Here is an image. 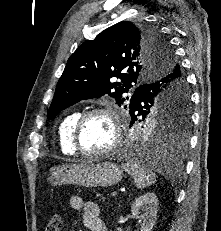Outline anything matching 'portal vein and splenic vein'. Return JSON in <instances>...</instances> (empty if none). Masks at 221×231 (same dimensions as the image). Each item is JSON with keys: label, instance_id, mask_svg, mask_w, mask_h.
<instances>
[{"label": "portal vein and splenic vein", "instance_id": "1", "mask_svg": "<svg viewBox=\"0 0 221 231\" xmlns=\"http://www.w3.org/2000/svg\"><path fill=\"white\" fill-rule=\"evenodd\" d=\"M111 196H112V197H116V196H117V192H115V191L112 192V193H111Z\"/></svg>", "mask_w": 221, "mask_h": 231}]
</instances>
